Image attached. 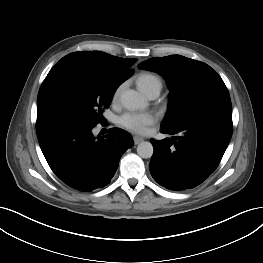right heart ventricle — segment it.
Wrapping results in <instances>:
<instances>
[{
    "label": "right heart ventricle",
    "instance_id": "1",
    "mask_svg": "<svg viewBox=\"0 0 263 263\" xmlns=\"http://www.w3.org/2000/svg\"><path fill=\"white\" fill-rule=\"evenodd\" d=\"M154 82H160V80L158 77L150 73H142L137 78V84L139 88H144Z\"/></svg>",
    "mask_w": 263,
    "mask_h": 263
}]
</instances>
